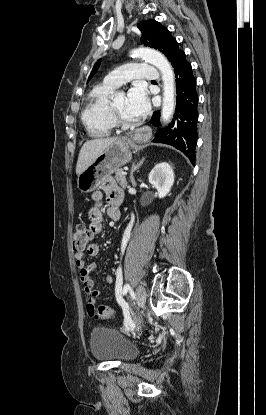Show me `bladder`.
Segmentation results:
<instances>
[{
  "mask_svg": "<svg viewBox=\"0 0 266 415\" xmlns=\"http://www.w3.org/2000/svg\"><path fill=\"white\" fill-rule=\"evenodd\" d=\"M90 352L98 361L127 362L137 357L138 347L119 331L95 327L90 336Z\"/></svg>",
  "mask_w": 266,
  "mask_h": 415,
  "instance_id": "1",
  "label": "bladder"
}]
</instances>
